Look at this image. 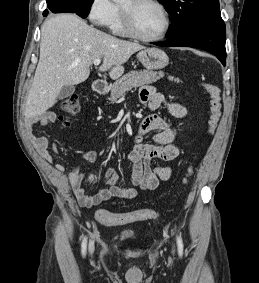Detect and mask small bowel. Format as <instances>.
Returning <instances> with one entry per match:
<instances>
[{"label": "small bowel", "mask_w": 259, "mask_h": 283, "mask_svg": "<svg viewBox=\"0 0 259 283\" xmlns=\"http://www.w3.org/2000/svg\"><path fill=\"white\" fill-rule=\"evenodd\" d=\"M140 100L152 110L162 105H167L173 116L183 118L186 115V109L183 106L178 103L168 102L163 94L156 92L151 86H146L141 90ZM56 120L57 116L55 113L46 112L28 118L25 125L30 140L34 143L42 158L48 163L53 161L48 150V139L44 136L36 135L34 126L37 123L41 125L52 124ZM148 133L152 134V143H142V135ZM175 138L176 131L166 120L158 115H150L140 125L139 135L136 136L133 146L128 153V160L133 166L132 186H118L116 183L119 175L112 168H108L104 175L106 187L93 196H88L83 186L84 180L94 177L92 173L81 172L78 167H73L68 171L66 179L79 203L85 207L96 206L114 197L134 199L138 196L139 190H155L160 181H167L172 177L173 171L170 166L159 164L152 167L151 162L155 159L169 162L177 158L180 150L174 143ZM81 155L92 165L98 160V153L94 150H83ZM55 169L58 172H63L65 167L56 164Z\"/></svg>", "instance_id": "1"}]
</instances>
